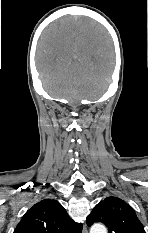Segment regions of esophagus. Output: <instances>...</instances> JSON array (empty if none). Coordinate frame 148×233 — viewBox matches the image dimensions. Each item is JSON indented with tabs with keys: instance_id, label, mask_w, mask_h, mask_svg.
Returning <instances> with one entry per match:
<instances>
[{
	"instance_id": "esophagus-1",
	"label": "esophagus",
	"mask_w": 148,
	"mask_h": 233,
	"mask_svg": "<svg viewBox=\"0 0 148 233\" xmlns=\"http://www.w3.org/2000/svg\"><path fill=\"white\" fill-rule=\"evenodd\" d=\"M83 233H88V230H87V228H86V227H84V229H83Z\"/></svg>"
}]
</instances>
